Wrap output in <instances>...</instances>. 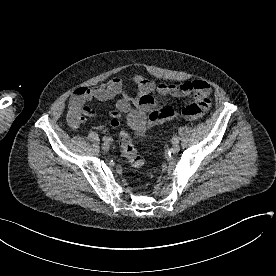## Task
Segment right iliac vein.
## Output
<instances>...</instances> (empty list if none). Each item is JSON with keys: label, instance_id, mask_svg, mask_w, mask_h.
<instances>
[{"label": "right iliac vein", "instance_id": "right-iliac-vein-1", "mask_svg": "<svg viewBox=\"0 0 276 276\" xmlns=\"http://www.w3.org/2000/svg\"><path fill=\"white\" fill-rule=\"evenodd\" d=\"M109 148H110L109 142H108V141H105V142L102 144V149H103L104 151H108Z\"/></svg>", "mask_w": 276, "mask_h": 276}]
</instances>
